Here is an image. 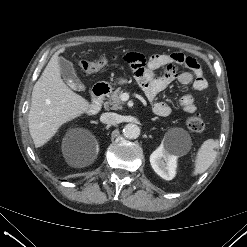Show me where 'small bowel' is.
Returning <instances> with one entry per match:
<instances>
[{"label": "small bowel", "mask_w": 247, "mask_h": 247, "mask_svg": "<svg viewBox=\"0 0 247 247\" xmlns=\"http://www.w3.org/2000/svg\"><path fill=\"white\" fill-rule=\"evenodd\" d=\"M124 60L132 69L136 81L149 101H154L157 95L175 80L183 88L189 85L195 91L207 88V81L197 60L182 53L154 54L148 58L141 54L128 53ZM177 65H184L189 71L178 74ZM159 69H163L164 72L156 77V71ZM179 105L185 112L196 111L194 97L191 94L182 96ZM153 111L160 117H167L171 114V107L166 102L158 101L154 103Z\"/></svg>", "instance_id": "small-bowel-1"}]
</instances>
